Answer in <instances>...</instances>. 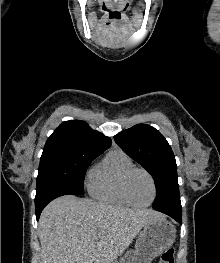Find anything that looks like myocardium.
<instances>
[{
	"instance_id": "1",
	"label": "myocardium",
	"mask_w": 220,
	"mask_h": 263,
	"mask_svg": "<svg viewBox=\"0 0 220 263\" xmlns=\"http://www.w3.org/2000/svg\"><path fill=\"white\" fill-rule=\"evenodd\" d=\"M136 172L144 173L149 178V180L151 182L152 198L148 203H145V204L136 203L133 200V198L131 197V194L129 191V183H130L131 177ZM122 190H123V194H124L125 198L128 200V202L131 205L136 206V207H141V208L150 206L155 201L156 195H157V186H156V182H155L154 177L152 176V174L148 170H146L145 168H142V167H135L134 166L125 173L123 181H122Z\"/></svg>"
}]
</instances>
